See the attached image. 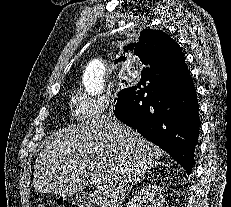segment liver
<instances>
[{
  "instance_id": "liver-1",
  "label": "liver",
  "mask_w": 231,
  "mask_h": 207,
  "mask_svg": "<svg viewBox=\"0 0 231 207\" xmlns=\"http://www.w3.org/2000/svg\"><path fill=\"white\" fill-rule=\"evenodd\" d=\"M162 154L108 112L48 137L35 162L33 186L42 194L71 196L98 179L93 200L99 207H119Z\"/></svg>"
}]
</instances>
